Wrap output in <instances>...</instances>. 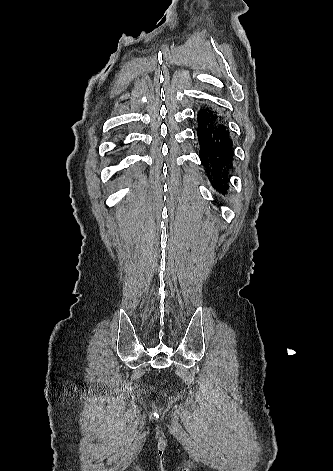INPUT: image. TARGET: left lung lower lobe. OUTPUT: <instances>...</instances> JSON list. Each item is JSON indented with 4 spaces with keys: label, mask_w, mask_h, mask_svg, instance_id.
Returning <instances> with one entry per match:
<instances>
[{
    "label": "left lung lower lobe",
    "mask_w": 333,
    "mask_h": 471,
    "mask_svg": "<svg viewBox=\"0 0 333 471\" xmlns=\"http://www.w3.org/2000/svg\"><path fill=\"white\" fill-rule=\"evenodd\" d=\"M197 136L201 163L210 172L209 180L225 192L229 186L228 170L232 164L233 148L225 122L211 106L200 109L197 115Z\"/></svg>",
    "instance_id": "left-lung-lower-lobe-1"
}]
</instances>
